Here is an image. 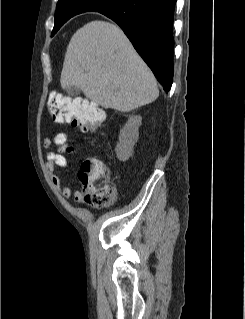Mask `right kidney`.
<instances>
[{"instance_id": "obj_1", "label": "right kidney", "mask_w": 245, "mask_h": 319, "mask_svg": "<svg viewBox=\"0 0 245 319\" xmlns=\"http://www.w3.org/2000/svg\"><path fill=\"white\" fill-rule=\"evenodd\" d=\"M141 116H131L125 126L120 130L119 142L116 146V155L120 161H126L133 154V147L139 137Z\"/></svg>"}]
</instances>
